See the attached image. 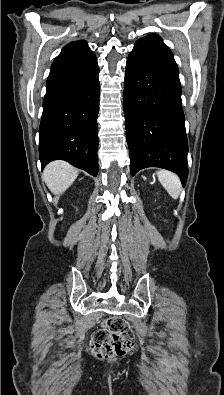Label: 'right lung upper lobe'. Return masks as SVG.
Returning <instances> with one entry per match:
<instances>
[{
    "label": "right lung upper lobe",
    "instance_id": "obj_1",
    "mask_svg": "<svg viewBox=\"0 0 224 395\" xmlns=\"http://www.w3.org/2000/svg\"><path fill=\"white\" fill-rule=\"evenodd\" d=\"M82 46H84V47H88L87 46V44H86V42H84V41H78Z\"/></svg>",
    "mask_w": 224,
    "mask_h": 395
}]
</instances>
